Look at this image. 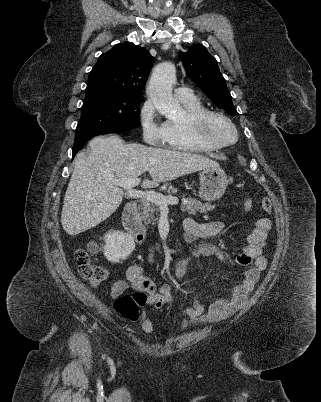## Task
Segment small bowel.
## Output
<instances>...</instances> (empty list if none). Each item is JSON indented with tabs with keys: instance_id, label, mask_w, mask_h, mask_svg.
I'll use <instances>...</instances> for the list:
<instances>
[{
	"instance_id": "small-bowel-1",
	"label": "small bowel",
	"mask_w": 321,
	"mask_h": 402,
	"mask_svg": "<svg viewBox=\"0 0 321 402\" xmlns=\"http://www.w3.org/2000/svg\"><path fill=\"white\" fill-rule=\"evenodd\" d=\"M223 227V223L219 221L199 223L193 219H186L183 224L184 241L188 243L200 241L196 243L192 255H214L226 261L227 258L221 247L213 241L222 232ZM271 228V221L267 218H259L256 221L253 229L247 235L246 246L236 257L239 265L251 266L245 272L243 280L232 286L229 296L222 297L213 302L207 311H205L203 304L197 299L194 300L190 307L179 311V314L184 317L183 328L196 321L216 322L223 320L245 305L249 293L254 289L261 273L267 267L263 249ZM154 253L155 249L149 251L148 259L150 261L154 259ZM188 262V257L176 261L174 270L178 279H182L186 274ZM129 286L148 293L147 305L159 309L172 303L170 285L163 284L157 288L155 282L146 276L141 266L137 264L131 265L128 268L125 280L120 279L115 281L111 290L112 297H118ZM140 326L147 334H152L154 331L153 322L146 309L142 312Z\"/></svg>"
}]
</instances>
